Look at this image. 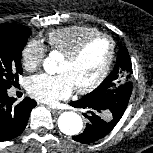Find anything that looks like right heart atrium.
Returning a JSON list of instances; mask_svg holds the SVG:
<instances>
[{
  "label": "right heart atrium",
  "instance_id": "obj_1",
  "mask_svg": "<svg viewBox=\"0 0 153 153\" xmlns=\"http://www.w3.org/2000/svg\"><path fill=\"white\" fill-rule=\"evenodd\" d=\"M45 54L46 48L39 40H29L21 53L24 67L29 71L36 70L41 66Z\"/></svg>",
  "mask_w": 153,
  "mask_h": 153
}]
</instances>
